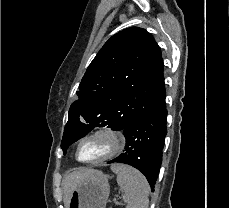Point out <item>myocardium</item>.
<instances>
[{
	"label": "myocardium",
	"mask_w": 229,
	"mask_h": 208,
	"mask_svg": "<svg viewBox=\"0 0 229 208\" xmlns=\"http://www.w3.org/2000/svg\"><path fill=\"white\" fill-rule=\"evenodd\" d=\"M101 134H98V133ZM83 143H103L104 147H116L111 153L94 160H82L79 157V148ZM126 146V137L124 132L116 127L103 125L96 127L79 138L75 147L76 159L84 164H97L115 158Z\"/></svg>",
	"instance_id": "1"
}]
</instances>
